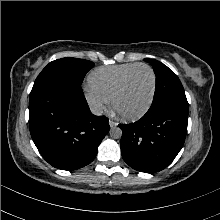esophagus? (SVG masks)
<instances>
[{
  "label": "esophagus",
  "instance_id": "34e87169",
  "mask_svg": "<svg viewBox=\"0 0 220 220\" xmlns=\"http://www.w3.org/2000/svg\"><path fill=\"white\" fill-rule=\"evenodd\" d=\"M109 125L111 128L118 126V123L113 121V120H109Z\"/></svg>",
  "mask_w": 220,
  "mask_h": 220
}]
</instances>
